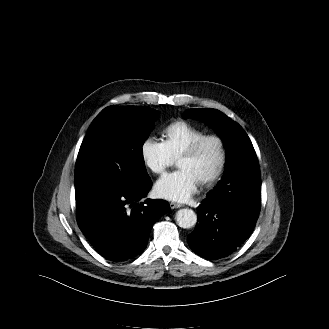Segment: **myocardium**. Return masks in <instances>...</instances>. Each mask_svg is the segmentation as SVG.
<instances>
[{"label":"myocardium","mask_w":329,"mask_h":329,"mask_svg":"<svg viewBox=\"0 0 329 329\" xmlns=\"http://www.w3.org/2000/svg\"><path fill=\"white\" fill-rule=\"evenodd\" d=\"M208 141H214L217 143L219 148V160L214 171L199 181L201 184L204 185L213 183L224 172L227 163V147L225 140L218 134H204L203 136L193 141L190 145H188L178 157V159H180L196 155L197 152L201 149V147Z\"/></svg>","instance_id":"obj_1"}]
</instances>
